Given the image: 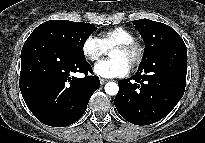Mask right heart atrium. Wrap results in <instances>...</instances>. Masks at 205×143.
<instances>
[{"label": "right heart atrium", "mask_w": 205, "mask_h": 143, "mask_svg": "<svg viewBox=\"0 0 205 143\" xmlns=\"http://www.w3.org/2000/svg\"><path fill=\"white\" fill-rule=\"evenodd\" d=\"M82 53L88 61L95 62L102 58L107 50L99 38L89 35L82 43Z\"/></svg>", "instance_id": "obj_1"}]
</instances>
